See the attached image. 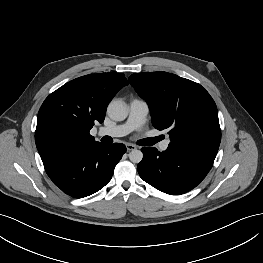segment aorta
Masks as SVG:
<instances>
[{"label":"aorta","instance_id":"obj_1","mask_svg":"<svg viewBox=\"0 0 263 263\" xmlns=\"http://www.w3.org/2000/svg\"><path fill=\"white\" fill-rule=\"evenodd\" d=\"M108 116L115 121H123L128 116L126 104L121 100H112L107 107ZM143 153L140 150L134 149L129 153V159L133 163L142 161Z\"/></svg>","mask_w":263,"mask_h":263}]
</instances>
